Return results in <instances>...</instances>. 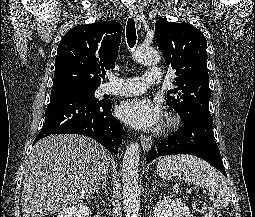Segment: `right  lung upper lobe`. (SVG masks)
<instances>
[{"mask_svg": "<svg viewBox=\"0 0 255 217\" xmlns=\"http://www.w3.org/2000/svg\"><path fill=\"white\" fill-rule=\"evenodd\" d=\"M121 34L122 26L115 21L70 29L58 45L53 87L69 84L98 87L101 71L115 67Z\"/></svg>", "mask_w": 255, "mask_h": 217, "instance_id": "cb5924a9", "label": "right lung upper lobe"}]
</instances>
